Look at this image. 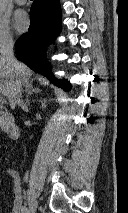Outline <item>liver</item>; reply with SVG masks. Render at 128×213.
I'll return each instance as SVG.
<instances>
[{"instance_id":"1","label":"liver","mask_w":128,"mask_h":213,"mask_svg":"<svg viewBox=\"0 0 128 213\" xmlns=\"http://www.w3.org/2000/svg\"><path fill=\"white\" fill-rule=\"evenodd\" d=\"M20 65V80L27 86L32 75L31 70L23 63ZM16 76L13 69L8 65L6 60L0 56V94L5 96L9 102L12 109L15 108V100L13 97L14 82Z\"/></svg>"}]
</instances>
